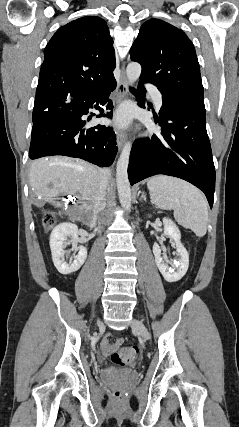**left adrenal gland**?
<instances>
[{
    "label": "left adrenal gland",
    "mask_w": 239,
    "mask_h": 427,
    "mask_svg": "<svg viewBox=\"0 0 239 427\" xmlns=\"http://www.w3.org/2000/svg\"><path fill=\"white\" fill-rule=\"evenodd\" d=\"M140 201L141 200H144L145 202H146V196H145V193L144 192H142L141 193V197H140V199H139Z\"/></svg>",
    "instance_id": "obj_1"
}]
</instances>
